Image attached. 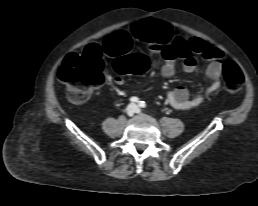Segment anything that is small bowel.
Segmentation results:
<instances>
[{
    "label": "small bowel",
    "instance_id": "c3829d8e",
    "mask_svg": "<svg viewBox=\"0 0 258 206\" xmlns=\"http://www.w3.org/2000/svg\"><path fill=\"white\" fill-rule=\"evenodd\" d=\"M154 38L149 40L147 47L150 51L160 53L164 58V65L161 74L164 77H172L176 74V61H182L181 70L184 73H193L196 70V59L198 55L210 63L207 67L206 74L213 80V84L203 95H197L190 98L187 88L178 86L169 91L166 96L168 104L177 110H189L201 105L207 98L215 94L221 87V75L224 63V53L209 43L195 37L173 31L169 26L157 29L152 32ZM132 38L128 32L117 31L108 35L102 46L91 44L87 48L97 47L104 51L108 56L120 58L131 46ZM112 82L115 85H123L122 76H116Z\"/></svg>",
    "mask_w": 258,
    "mask_h": 206
}]
</instances>
